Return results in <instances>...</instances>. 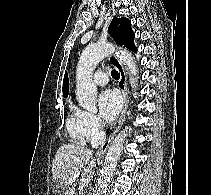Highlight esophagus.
<instances>
[{"mask_svg":"<svg viewBox=\"0 0 211 195\" xmlns=\"http://www.w3.org/2000/svg\"><path fill=\"white\" fill-rule=\"evenodd\" d=\"M109 60L116 67V69L118 70L119 75H120V80H119L118 86H119V89L121 90L122 96H123V108H122L121 115H120V118H119L116 128L111 133V135L107 138V140L105 142H103L101 144V146L99 147V149L97 150V152H96L97 157H104V155L106 154L110 143L114 139L115 135L117 134V132L119 131V129L121 128V126L125 120V114H126L128 104H129L128 92H127V76H126L125 69L115 54L110 55Z\"/></svg>","mask_w":211,"mask_h":195,"instance_id":"34e87169","label":"esophagus"}]
</instances>
